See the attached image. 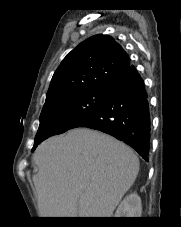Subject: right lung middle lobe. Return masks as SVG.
<instances>
[{
  "mask_svg": "<svg viewBox=\"0 0 181 227\" xmlns=\"http://www.w3.org/2000/svg\"><path fill=\"white\" fill-rule=\"evenodd\" d=\"M109 88L62 98L42 109L34 147L50 136L79 127L105 104Z\"/></svg>",
  "mask_w": 181,
  "mask_h": 227,
  "instance_id": "1",
  "label": "right lung middle lobe"
}]
</instances>
